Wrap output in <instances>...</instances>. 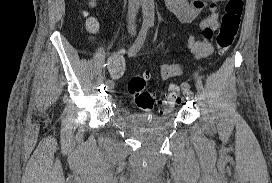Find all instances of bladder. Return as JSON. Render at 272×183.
I'll return each mask as SVG.
<instances>
[{
    "label": "bladder",
    "instance_id": "bladder-1",
    "mask_svg": "<svg viewBox=\"0 0 272 183\" xmlns=\"http://www.w3.org/2000/svg\"><path fill=\"white\" fill-rule=\"evenodd\" d=\"M123 120L130 129L146 133H156L166 129L170 125L171 116L124 111Z\"/></svg>",
    "mask_w": 272,
    "mask_h": 183
}]
</instances>
